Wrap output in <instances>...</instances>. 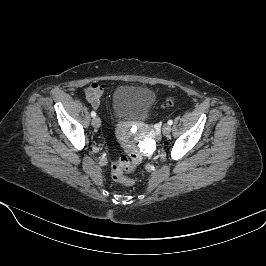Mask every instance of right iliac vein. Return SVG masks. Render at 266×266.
Returning <instances> with one entry per match:
<instances>
[{
    "instance_id": "obj_1",
    "label": "right iliac vein",
    "mask_w": 266,
    "mask_h": 266,
    "mask_svg": "<svg viewBox=\"0 0 266 266\" xmlns=\"http://www.w3.org/2000/svg\"><path fill=\"white\" fill-rule=\"evenodd\" d=\"M92 125L93 127L95 128H99L100 125H101V120L100 118L97 116V117H94L93 120H92Z\"/></svg>"
}]
</instances>
